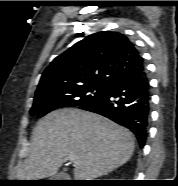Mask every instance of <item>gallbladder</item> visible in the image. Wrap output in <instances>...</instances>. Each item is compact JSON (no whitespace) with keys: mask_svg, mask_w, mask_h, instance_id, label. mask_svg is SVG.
<instances>
[{"mask_svg":"<svg viewBox=\"0 0 178 186\" xmlns=\"http://www.w3.org/2000/svg\"><path fill=\"white\" fill-rule=\"evenodd\" d=\"M64 176H65V174L63 172H61V173H57V174L53 175L52 177H53V179H60Z\"/></svg>","mask_w":178,"mask_h":186,"instance_id":"gallbladder-1","label":"gallbladder"}]
</instances>
